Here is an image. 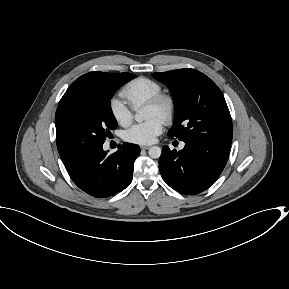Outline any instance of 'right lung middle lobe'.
<instances>
[{"label": "right lung middle lobe", "instance_id": "dd1d6c3e", "mask_svg": "<svg viewBox=\"0 0 289 289\" xmlns=\"http://www.w3.org/2000/svg\"><path fill=\"white\" fill-rule=\"evenodd\" d=\"M136 75L111 74L85 95L59 102L56 115V143L63 164L103 145L117 122L110 109V98L123 84Z\"/></svg>", "mask_w": 289, "mask_h": 289}]
</instances>
